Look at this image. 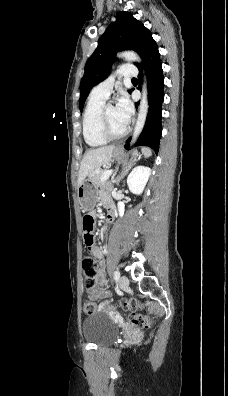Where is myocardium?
Segmentation results:
<instances>
[{
    "mask_svg": "<svg viewBox=\"0 0 228 396\" xmlns=\"http://www.w3.org/2000/svg\"><path fill=\"white\" fill-rule=\"evenodd\" d=\"M109 105H112V104H110V103L104 104L100 111V115H99L100 132H101L102 136L107 140L121 139L128 134L129 126H126L124 128V130L120 133H114L110 130L108 122H107V108Z\"/></svg>",
    "mask_w": 228,
    "mask_h": 396,
    "instance_id": "f54148a6",
    "label": "myocardium"
}]
</instances>
